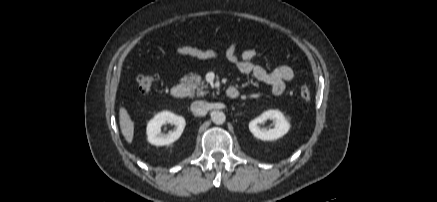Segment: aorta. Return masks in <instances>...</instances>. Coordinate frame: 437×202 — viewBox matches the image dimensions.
<instances>
[{"mask_svg":"<svg viewBox=\"0 0 437 202\" xmlns=\"http://www.w3.org/2000/svg\"><path fill=\"white\" fill-rule=\"evenodd\" d=\"M211 120L213 121V123L221 125L225 122L226 116L222 111H213L211 113Z\"/></svg>","mask_w":437,"mask_h":202,"instance_id":"1","label":"aorta"}]
</instances>
